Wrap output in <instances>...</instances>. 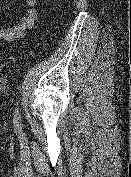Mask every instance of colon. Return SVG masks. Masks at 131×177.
Wrapping results in <instances>:
<instances>
[{"mask_svg":"<svg viewBox=\"0 0 131 177\" xmlns=\"http://www.w3.org/2000/svg\"><path fill=\"white\" fill-rule=\"evenodd\" d=\"M6 69V64L3 62H0V73L3 72Z\"/></svg>","mask_w":131,"mask_h":177,"instance_id":"colon-1","label":"colon"}]
</instances>
